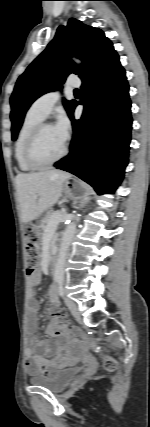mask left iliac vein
<instances>
[{
    "mask_svg": "<svg viewBox=\"0 0 150 427\" xmlns=\"http://www.w3.org/2000/svg\"><path fill=\"white\" fill-rule=\"evenodd\" d=\"M66 305L69 307L72 315L76 318V320L80 321L81 320V316L80 313L78 311L77 305L74 301H72L71 299L66 298L65 299Z\"/></svg>",
    "mask_w": 150,
    "mask_h": 427,
    "instance_id": "1",
    "label": "left iliac vein"
}]
</instances>
